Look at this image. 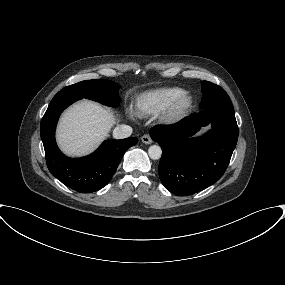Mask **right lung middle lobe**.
<instances>
[{
	"mask_svg": "<svg viewBox=\"0 0 285 285\" xmlns=\"http://www.w3.org/2000/svg\"><path fill=\"white\" fill-rule=\"evenodd\" d=\"M120 86L104 79L82 81L60 90V94H71L78 99L87 98L107 106L117 107L120 103L118 90Z\"/></svg>",
	"mask_w": 285,
	"mask_h": 285,
	"instance_id": "1",
	"label": "right lung middle lobe"
}]
</instances>
